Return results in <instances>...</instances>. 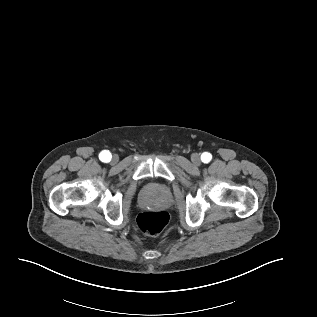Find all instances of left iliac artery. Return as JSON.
<instances>
[{"label":"left iliac artery","mask_w":317,"mask_h":317,"mask_svg":"<svg viewBox=\"0 0 317 317\" xmlns=\"http://www.w3.org/2000/svg\"><path fill=\"white\" fill-rule=\"evenodd\" d=\"M212 159V155L208 152H204L202 155H201V160L202 162L204 163H208L210 162Z\"/></svg>","instance_id":"obj_1"}]
</instances>
